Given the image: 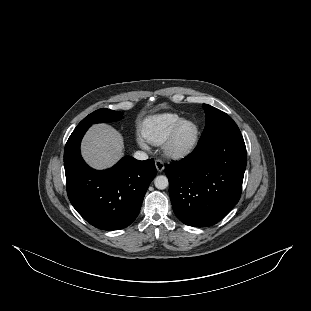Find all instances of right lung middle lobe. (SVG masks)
Masks as SVG:
<instances>
[{
  "mask_svg": "<svg viewBox=\"0 0 311 311\" xmlns=\"http://www.w3.org/2000/svg\"><path fill=\"white\" fill-rule=\"evenodd\" d=\"M121 112L113 111L110 109H98L94 111L93 113L89 114L86 118H84L77 127H83V126H91L95 123H103V122H112L117 121L122 118Z\"/></svg>",
  "mask_w": 311,
  "mask_h": 311,
  "instance_id": "right-lung-middle-lobe-1",
  "label": "right lung middle lobe"
}]
</instances>
